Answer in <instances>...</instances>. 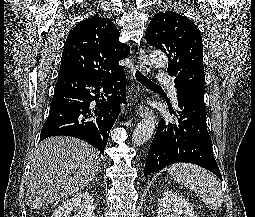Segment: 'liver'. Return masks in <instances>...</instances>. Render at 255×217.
<instances>
[{"mask_svg": "<svg viewBox=\"0 0 255 217\" xmlns=\"http://www.w3.org/2000/svg\"><path fill=\"white\" fill-rule=\"evenodd\" d=\"M99 169V152L90 144L66 136L43 140L32 154L28 206L37 209L78 192L94 180Z\"/></svg>", "mask_w": 255, "mask_h": 217, "instance_id": "liver-1", "label": "liver"}]
</instances>
